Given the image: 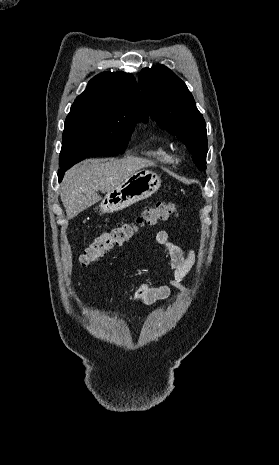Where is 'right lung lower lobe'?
Segmentation results:
<instances>
[{
	"label": "right lung lower lobe",
	"instance_id": "obj_1",
	"mask_svg": "<svg viewBox=\"0 0 279 465\" xmlns=\"http://www.w3.org/2000/svg\"><path fill=\"white\" fill-rule=\"evenodd\" d=\"M68 170V168H65V169H62V170H59V173H58V178H59V181L62 180L63 176H64V173L65 171Z\"/></svg>",
	"mask_w": 279,
	"mask_h": 465
}]
</instances>
